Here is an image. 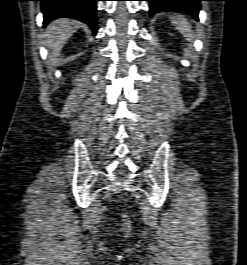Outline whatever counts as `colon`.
<instances>
[{
	"instance_id": "1",
	"label": "colon",
	"mask_w": 247,
	"mask_h": 265,
	"mask_svg": "<svg viewBox=\"0 0 247 265\" xmlns=\"http://www.w3.org/2000/svg\"><path fill=\"white\" fill-rule=\"evenodd\" d=\"M122 229L124 236H127L131 231V221L126 213L122 215Z\"/></svg>"
}]
</instances>
